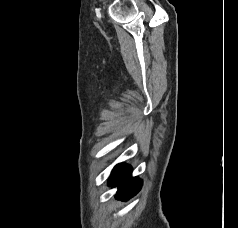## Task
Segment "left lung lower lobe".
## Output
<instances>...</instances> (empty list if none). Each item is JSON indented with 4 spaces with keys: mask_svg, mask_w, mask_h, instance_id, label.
Returning <instances> with one entry per match:
<instances>
[{
    "mask_svg": "<svg viewBox=\"0 0 238 228\" xmlns=\"http://www.w3.org/2000/svg\"><path fill=\"white\" fill-rule=\"evenodd\" d=\"M131 170V166L125 164H118L112 170L109 185L118 186V199L127 200L141 189L142 181L131 177Z\"/></svg>",
    "mask_w": 238,
    "mask_h": 228,
    "instance_id": "0a47b994",
    "label": "left lung lower lobe"
}]
</instances>
